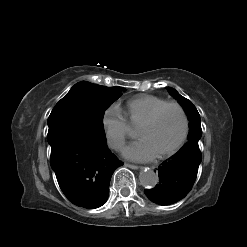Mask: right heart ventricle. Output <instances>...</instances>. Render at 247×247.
I'll return each instance as SVG.
<instances>
[{"mask_svg":"<svg viewBox=\"0 0 247 247\" xmlns=\"http://www.w3.org/2000/svg\"><path fill=\"white\" fill-rule=\"evenodd\" d=\"M167 100L155 95L142 94L132 98L126 105V116L129 124L140 125L156 108Z\"/></svg>","mask_w":247,"mask_h":247,"instance_id":"e07e8e85","label":"right heart ventricle"}]
</instances>
